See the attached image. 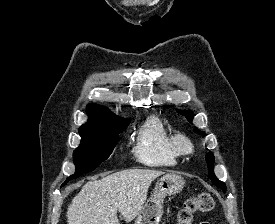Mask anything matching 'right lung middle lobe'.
<instances>
[{"label": "right lung middle lobe", "mask_w": 275, "mask_h": 224, "mask_svg": "<svg viewBox=\"0 0 275 224\" xmlns=\"http://www.w3.org/2000/svg\"><path fill=\"white\" fill-rule=\"evenodd\" d=\"M129 122L105 127L80 128L81 143L73 153L76 171L62 186L69 180L94 170L101 162L108 159L119 141L118 133L125 130Z\"/></svg>", "instance_id": "dd1d6c3e"}]
</instances>
